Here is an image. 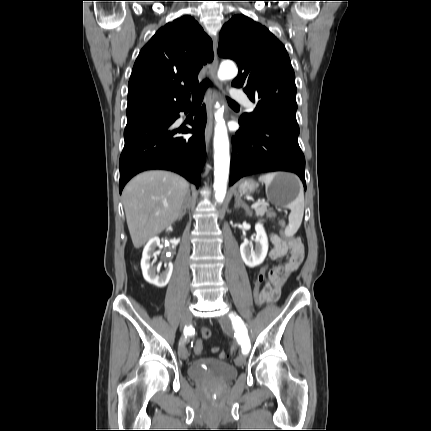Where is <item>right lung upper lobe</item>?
<instances>
[{
	"label": "right lung upper lobe",
	"instance_id": "obj_1",
	"mask_svg": "<svg viewBox=\"0 0 431 431\" xmlns=\"http://www.w3.org/2000/svg\"><path fill=\"white\" fill-rule=\"evenodd\" d=\"M212 41L190 16L160 28L140 51L128 84L127 121L173 111L190 102Z\"/></svg>",
	"mask_w": 431,
	"mask_h": 431
}]
</instances>
